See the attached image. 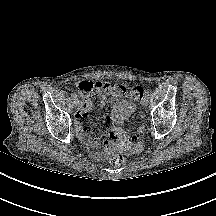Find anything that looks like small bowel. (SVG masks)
Returning a JSON list of instances; mask_svg holds the SVG:
<instances>
[{
	"label": "small bowel",
	"mask_w": 216,
	"mask_h": 216,
	"mask_svg": "<svg viewBox=\"0 0 216 216\" xmlns=\"http://www.w3.org/2000/svg\"><path fill=\"white\" fill-rule=\"evenodd\" d=\"M102 95L99 97L98 105L100 108L112 103V111L107 118L111 123H122L130 117L134 111L133 103L129 96V87L120 82H97ZM93 102L91 99H84L75 115L76 130L80 138L90 142L93 147H99V135L97 131L88 129L84 123L89 116Z\"/></svg>",
	"instance_id": "small-bowel-1"
}]
</instances>
